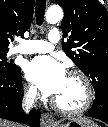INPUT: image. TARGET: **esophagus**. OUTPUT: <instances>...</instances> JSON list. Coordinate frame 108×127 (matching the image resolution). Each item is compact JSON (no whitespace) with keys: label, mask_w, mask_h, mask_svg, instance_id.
Masks as SVG:
<instances>
[{"label":"esophagus","mask_w":108,"mask_h":127,"mask_svg":"<svg viewBox=\"0 0 108 127\" xmlns=\"http://www.w3.org/2000/svg\"><path fill=\"white\" fill-rule=\"evenodd\" d=\"M56 124L54 117L48 113H43L41 116L42 127H54Z\"/></svg>","instance_id":"esophagus-1"}]
</instances>
